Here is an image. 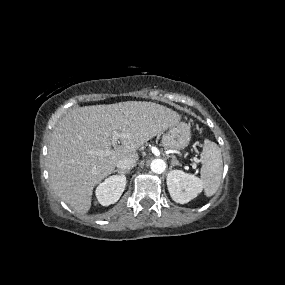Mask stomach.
<instances>
[{
  "label": "stomach",
  "instance_id": "1",
  "mask_svg": "<svg viewBox=\"0 0 285 285\" xmlns=\"http://www.w3.org/2000/svg\"><path fill=\"white\" fill-rule=\"evenodd\" d=\"M191 139L190 127L184 122L172 124L162 137V145L167 149L181 150L188 146Z\"/></svg>",
  "mask_w": 285,
  "mask_h": 285
}]
</instances>
